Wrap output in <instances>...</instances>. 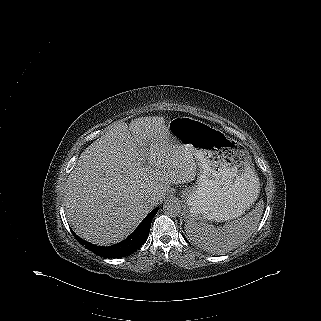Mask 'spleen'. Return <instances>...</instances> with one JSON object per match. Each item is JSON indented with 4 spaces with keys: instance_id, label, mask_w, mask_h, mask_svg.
Here are the masks:
<instances>
[{
    "instance_id": "obj_1",
    "label": "spleen",
    "mask_w": 321,
    "mask_h": 321,
    "mask_svg": "<svg viewBox=\"0 0 321 321\" xmlns=\"http://www.w3.org/2000/svg\"><path fill=\"white\" fill-rule=\"evenodd\" d=\"M264 203L259 201L245 216L216 227L205 220H187L185 231L199 248L212 254H222L241 246L257 229Z\"/></svg>"
}]
</instances>
